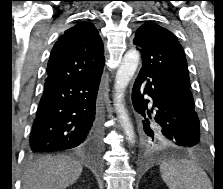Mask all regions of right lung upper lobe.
I'll return each instance as SVG.
<instances>
[{
    "instance_id": "1",
    "label": "right lung upper lobe",
    "mask_w": 223,
    "mask_h": 189,
    "mask_svg": "<svg viewBox=\"0 0 223 189\" xmlns=\"http://www.w3.org/2000/svg\"><path fill=\"white\" fill-rule=\"evenodd\" d=\"M104 47L92 23L80 22L67 29L55 43L47 65L46 82L75 80L103 72Z\"/></svg>"
}]
</instances>
